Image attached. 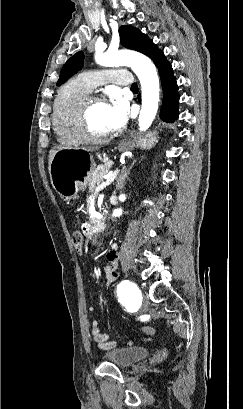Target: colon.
Segmentation results:
<instances>
[{
    "label": "colon",
    "mask_w": 243,
    "mask_h": 409,
    "mask_svg": "<svg viewBox=\"0 0 243 409\" xmlns=\"http://www.w3.org/2000/svg\"><path fill=\"white\" fill-rule=\"evenodd\" d=\"M72 242H73V246L75 248V251L78 254L82 253V250H83V236H82L81 232H79V231H74L73 232ZM153 333H154V330L150 326H144L142 328V334L143 335L151 336V335H153Z\"/></svg>",
    "instance_id": "obj_1"
}]
</instances>
